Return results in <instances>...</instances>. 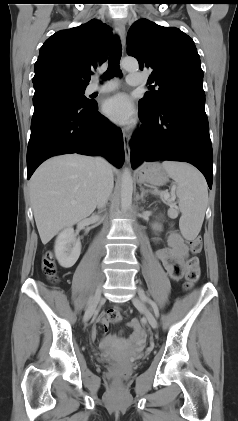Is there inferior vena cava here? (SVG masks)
Here are the masks:
<instances>
[{
  "mask_svg": "<svg viewBox=\"0 0 238 421\" xmlns=\"http://www.w3.org/2000/svg\"><path fill=\"white\" fill-rule=\"evenodd\" d=\"M97 170V205L102 209L112 192L114 181L110 164L102 157L95 158Z\"/></svg>",
  "mask_w": 238,
  "mask_h": 421,
  "instance_id": "obj_1",
  "label": "inferior vena cava"
}]
</instances>
